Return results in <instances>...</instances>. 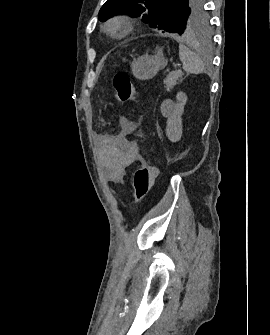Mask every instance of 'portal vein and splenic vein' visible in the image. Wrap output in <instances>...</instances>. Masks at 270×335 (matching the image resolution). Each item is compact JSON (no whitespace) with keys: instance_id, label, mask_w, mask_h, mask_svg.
Segmentation results:
<instances>
[{"instance_id":"portal-vein-and-splenic-vein-1","label":"portal vein and splenic vein","mask_w":270,"mask_h":335,"mask_svg":"<svg viewBox=\"0 0 270 335\" xmlns=\"http://www.w3.org/2000/svg\"><path fill=\"white\" fill-rule=\"evenodd\" d=\"M174 65L178 69L180 66H182V63H175ZM178 72H181V70H178Z\"/></svg>"}]
</instances>
